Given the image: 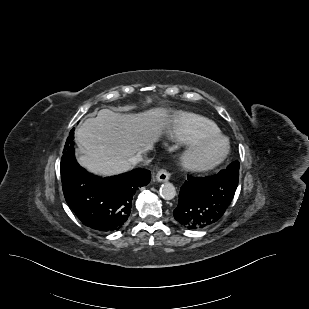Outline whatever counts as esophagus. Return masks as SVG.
Instances as JSON below:
<instances>
[{
	"label": "esophagus",
	"mask_w": 309,
	"mask_h": 309,
	"mask_svg": "<svg viewBox=\"0 0 309 309\" xmlns=\"http://www.w3.org/2000/svg\"><path fill=\"white\" fill-rule=\"evenodd\" d=\"M170 178V173L166 169H160L156 174V180L158 182H166Z\"/></svg>",
	"instance_id": "1"
}]
</instances>
